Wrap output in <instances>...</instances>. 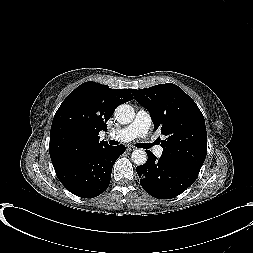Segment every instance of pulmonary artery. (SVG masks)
<instances>
[{"label":"pulmonary artery","instance_id":"obj_1","mask_svg":"<svg viewBox=\"0 0 253 253\" xmlns=\"http://www.w3.org/2000/svg\"><path fill=\"white\" fill-rule=\"evenodd\" d=\"M151 117L149 113L145 110H139L134 118V120L122 129L110 133L108 137L116 139L121 142L130 141L136 137H140L148 140V133L151 127ZM149 141V140H148ZM149 147L152 148L153 153L160 157L163 153V148L158 145L149 143Z\"/></svg>","mask_w":253,"mask_h":253}]
</instances>
